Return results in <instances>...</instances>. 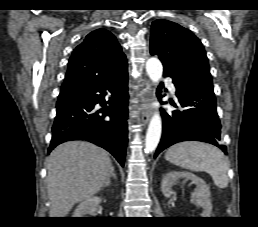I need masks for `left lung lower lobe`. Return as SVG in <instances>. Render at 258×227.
I'll return each instance as SVG.
<instances>
[{"label": "left lung lower lobe", "mask_w": 258, "mask_h": 227, "mask_svg": "<svg viewBox=\"0 0 258 227\" xmlns=\"http://www.w3.org/2000/svg\"><path fill=\"white\" fill-rule=\"evenodd\" d=\"M171 78L176 87L178 104L183 109L172 113L161 110L162 138L154 157L156 158L160 152L177 142L189 140L211 143L226 153V146L220 144L221 124L216 111L213 87ZM162 87L163 85L160 89ZM171 104L176 107L175 103L171 102Z\"/></svg>", "instance_id": "0a47b994"}]
</instances>
